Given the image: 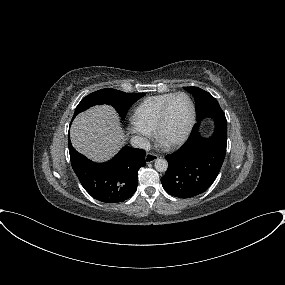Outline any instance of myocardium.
Instances as JSON below:
<instances>
[{"mask_svg":"<svg viewBox=\"0 0 285 285\" xmlns=\"http://www.w3.org/2000/svg\"><path fill=\"white\" fill-rule=\"evenodd\" d=\"M178 96H184L188 99V101L190 103V107H191L190 119H189V122H188V125H187L185 131L181 134V136H179L178 138L171 140V141H163L161 138V134H162L163 127L166 124V121L168 118L169 108H170V105L173 102V100ZM195 122H196V107H195L194 101L192 100L190 95L187 94L186 92H176L168 99V101L163 106V109L161 111V114L159 116L158 122H157L156 127H155V136H156L157 140L163 146H165L167 148L178 147V146L182 145L189 138V136H190V134L194 128Z\"/></svg>","mask_w":285,"mask_h":285,"instance_id":"obj_1","label":"myocardium"}]
</instances>
